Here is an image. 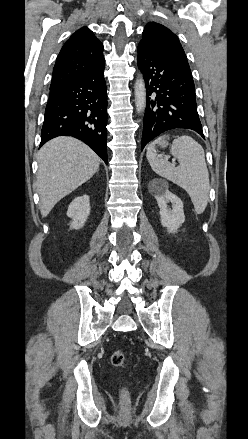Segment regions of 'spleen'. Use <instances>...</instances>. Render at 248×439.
<instances>
[{"label":"spleen","mask_w":248,"mask_h":439,"mask_svg":"<svg viewBox=\"0 0 248 439\" xmlns=\"http://www.w3.org/2000/svg\"><path fill=\"white\" fill-rule=\"evenodd\" d=\"M161 138L147 148V160L153 171L183 188L190 196L195 212L202 214L209 199V173L202 146L192 137L176 138L171 146V154L178 158L179 166L157 155L155 145Z\"/></svg>","instance_id":"spleen-1"}]
</instances>
